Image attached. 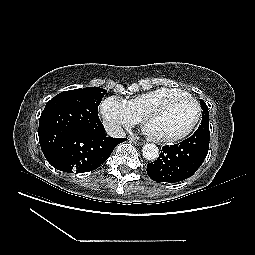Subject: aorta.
I'll use <instances>...</instances> for the list:
<instances>
[{
	"mask_svg": "<svg viewBox=\"0 0 255 255\" xmlns=\"http://www.w3.org/2000/svg\"><path fill=\"white\" fill-rule=\"evenodd\" d=\"M142 155L147 160H156L159 156V149L155 144H145L142 148Z\"/></svg>",
	"mask_w": 255,
	"mask_h": 255,
	"instance_id": "aorta-1",
	"label": "aorta"
}]
</instances>
